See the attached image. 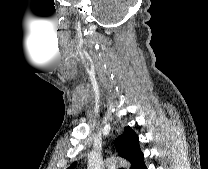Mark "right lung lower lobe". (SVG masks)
Wrapping results in <instances>:
<instances>
[{"label":"right lung lower lobe","mask_w":208,"mask_h":169,"mask_svg":"<svg viewBox=\"0 0 208 169\" xmlns=\"http://www.w3.org/2000/svg\"><path fill=\"white\" fill-rule=\"evenodd\" d=\"M135 169H147L144 159L135 167Z\"/></svg>","instance_id":"obj_1"}]
</instances>
